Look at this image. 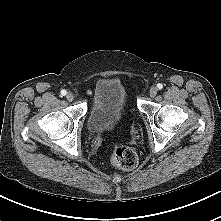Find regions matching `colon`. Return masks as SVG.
<instances>
[{"label": "colon", "instance_id": "5ec220e1", "mask_svg": "<svg viewBox=\"0 0 221 221\" xmlns=\"http://www.w3.org/2000/svg\"><path fill=\"white\" fill-rule=\"evenodd\" d=\"M111 161L115 166L123 170H131L137 166L138 156L132 148L116 145L111 153Z\"/></svg>", "mask_w": 221, "mask_h": 221}]
</instances>
